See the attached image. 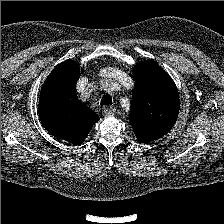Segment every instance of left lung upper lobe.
I'll list each match as a JSON object with an SVG mask.
<instances>
[{
  "mask_svg": "<svg viewBox=\"0 0 224 224\" xmlns=\"http://www.w3.org/2000/svg\"><path fill=\"white\" fill-rule=\"evenodd\" d=\"M130 123L135 135L144 141L156 140L168 133L179 113V94L172 78L154 61L134 67Z\"/></svg>",
  "mask_w": 224,
  "mask_h": 224,
  "instance_id": "left-lung-upper-lobe-1",
  "label": "left lung upper lobe"
}]
</instances>
